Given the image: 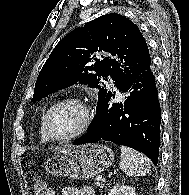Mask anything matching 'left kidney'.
Returning a JSON list of instances; mask_svg holds the SVG:
<instances>
[{"label": "left kidney", "mask_w": 189, "mask_h": 195, "mask_svg": "<svg viewBox=\"0 0 189 195\" xmlns=\"http://www.w3.org/2000/svg\"><path fill=\"white\" fill-rule=\"evenodd\" d=\"M108 195H136V193L131 186L119 185L115 186Z\"/></svg>", "instance_id": "obj_1"}]
</instances>
